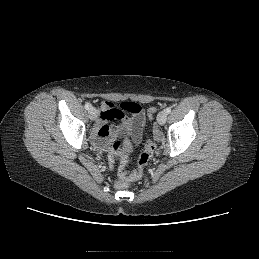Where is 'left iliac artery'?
I'll list each match as a JSON object with an SVG mask.
<instances>
[{
    "label": "left iliac artery",
    "mask_w": 259,
    "mask_h": 259,
    "mask_svg": "<svg viewBox=\"0 0 259 259\" xmlns=\"http://www.w3.org/2000/svg\"><path fill=\"white\" fill-rule=\"evenodd\" d=\"M165 111H166L167 114H169L171 112V108L168 107V108L165 109Z\"/></svg>",
    "instance_id": "obj_1"
}]
</instances>
